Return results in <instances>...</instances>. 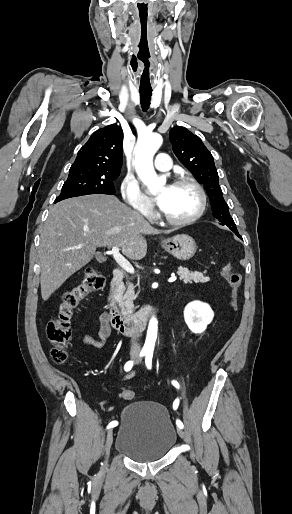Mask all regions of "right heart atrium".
<instances>
[{
	"mask_svg": "<svg viewBox=\"0 0 292 514\" xmlns=\"http://www.w3.org/2000/svg\"><path fill=\"white\" fill-rule=\"evenodd\" d=\"M120 192L133 209H143V214L150 209V202L143 193L138 179L131 173L126 172L121 183Z\"/></svg>",
	"mask_w": 292,
	"mask_h": 514,
	"instance_id": "obj_1",
	"label": "right heart atrium"
}]
</instances>
